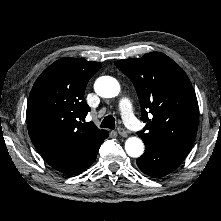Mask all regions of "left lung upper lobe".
I'll return each mask as SVG.
<instances>
[{
	"label": "left lung upper lobe",
	"mask_w": 221,
	"mask_h": 221,
	"mask_svg": "<svg viewBox=\"0 0 221 221\" xmlns=\"http://www.w3.org/2000/svg\"><path fill=\"white\" fill-rule=\"evenodd\" d=\"M134 84L146 122L137 134L142 140L167 144L189 152L198 127L194 89L182 68L160 52L115 62Z\"/></svg>",
	"instance_id": "obj_1"
}]
</instances>
